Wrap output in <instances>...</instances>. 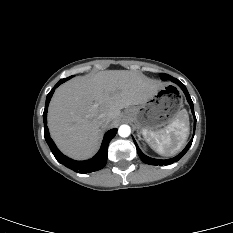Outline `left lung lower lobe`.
Wrapping results in <instances>:
<instances>
[{
    "instance_id": "0a47b994",
    "label": "left lung lower lobe",
    "mask_w": 233,
    "mask_h": 233,
    "mask_svg": "<svg viewBox=\"0 0 233 233\" xmlns=\"http://www.w3.org/2000/svg\"><path fill=\"white\" fill-rule=\"evenodd\" d=\"M170 80L174 83H176L182 90L183 92L185 93L186 95V98H187V101L188 103L190 104V107H191V110H192V114L194 116V132H195V127H196V117H195V114H194V108H193V102L191 100V97L185 87V85L183 83H181L179 80L171 77ZM193 137H194V133H193ZM193 137L192 139L190 140V142L187 144V146L184 148V150L177 156H175L174 158H171V159H168V160H161V159H153V158H150L148 156H146L141 150L140 148L138 147L136 141L134 140V143L136 145V149H137V153L139 155V157L141 158V160L143 162H145L146 164H150V165H169V164H172L174 162H177L181 157H183V155L188 151V149L190 148L191 144H192V141H193Z\"/></svg>"
}]
</instances>
